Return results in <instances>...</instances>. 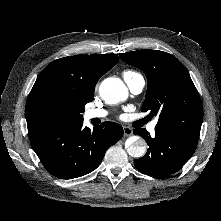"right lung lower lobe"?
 I'll use <instances>...</instances> for the list:
<instances>
[{
    "label": "right lung lower lobe",
    "instance_id": "1",
    "mask_svg": "<svg viewBox=\"0 0 221 221\" xmlns=\"http://www.w3.org/2000/svg\"><path fill=\"white\" fill-rule=\"evenodd\" d=\"M83 121L42 129L30 138L33 150L52 175L72 179L86 175L101 163L107 149L122 136L123 128L104 122L93 130Z\"/></svg>",
    "mask_w": 221,
    "mask_h": 221
}]
</instances>
